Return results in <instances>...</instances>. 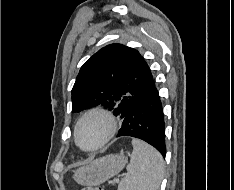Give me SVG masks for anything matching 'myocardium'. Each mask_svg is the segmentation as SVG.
<instances>
[{
	"label": "myocardium",
	"mask_w": 234,
	"mask_h": 190,
	"mask_svg": "<svg viewBox=\"0 0 234 190\" xmlns=\"http://www.w3.org/2000/svg\"><path fill=\"white\" fill-rule=\"evenodd\" d=\"M91 118H99L106 125V132L104 137L95 145L91 147H84L79 141V132L82 125ZM117 130V122L114 115L102 107H95L87 110L77 121L74 129V139L76 144L84 151L91 152L100 149L106 145L114 136Z\"/></svg>",
	"instance_id": "1"
}]
</instances>
